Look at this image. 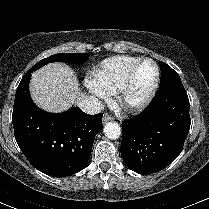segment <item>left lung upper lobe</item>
<instances>
[{"instance_id": "obj_1", "label": "left lung upper lobe", "mask_w": 209, "mask_h": 209, "mask_svg": "<svg viewBox=\"0 0 209 209\" xmlns=\"http://www.w3.org/2000/svg\"><path fill=\"white\" fill-rule=\"evenodd\" d=\"M161 68L160 87L163 88L172 84H182L179 74L167 64L159 61Z\"/></svg>"}]
</instances>
